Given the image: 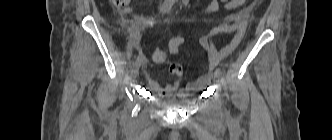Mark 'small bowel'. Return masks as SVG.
I'll return each instance as SVG.
<instances>
[{
  "label": "small bowel",
  "mask_w": 332,
  "mask_h": 140,
  "mask_svg": "<svg viewBox=\"0 0 332 140\" xmlns=\"http://www.w3.org/2000/svg\"><path fill=\"white\" fill-rule=\"evenodd\" d=\"M245 2L246 0H212L211 3L207 7L201 9L198 14L215 12L220 6H223L229 10L236 9L242 6ZM250 11L251 8L242 13V20L237 25L236 34L233 40L223 49L217 50L212 43L211 37L209 36H203L199 39L200 46L204 48L208 54V71L206 74L201 76L196 81L189 83L186 87L180 88L179 78L181 76V66L173 64L170 66V72L176 75L178 79L174 83L161 86L157 81L151 78L149 73L146 71V64H144V78L148 88L161 97H168L176 94L178 98H185L207 86L211 80L212 71L215 67L227 58L241 42L247 29V18L249 17ZM184 42L185 38L181 35L172 38L168 45L170 53L178 54Z\"/></svg>",
  "instance_id": "1"
}]
</instances>
